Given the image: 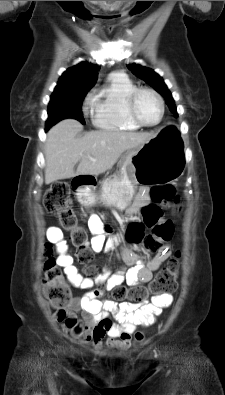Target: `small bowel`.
I'll list each match as a JSON object with an SVG mask.
<instances>
[{
	"label": "small bowel",
	"instance_id": "1",
	"mask_svg": "<svg viewBox=\"0 0 225 395\" xmlns=\"http://www.w3.org/2000/svg\"><path fill=\"white\" fill-rule=\"evenodd\" d=\"M147 204L148 192L145 188H141L127 210L128 219H135ZM88 226L93 234L91 248L94 252L99 253L113 247V241H106L109 230L98 215L93 214L89 217ZM46 236L48 241L54 244L56 254H59L56 266H60L72 281L71 291L82 292V296L74 299L68 308L62 311L56 310L54 313L55 320L61 323L63 330L73 339L84 344L91 343L97 348L103 344L113 348H128L133 343L144 340V333L137 331V327L153 324L162 309L172 304L173 297L169 293L155 295L150 301L145 300L141 304L116 303L101 299L102 291L93 288L94 285L104 284L109 290L122 281L131 286L146 284L170 257L172 252L170 245L165 244L160 247L158 252L147 261L126 249L123 258L129 268L125 273L111 274L109 270H104L94 278H84L69 255L68 237H63L62 231L55 226L46 229ZM77 311H81V319L77 317Z\"/></svg>",
	"mask_w": 225,
	"mask_h": 395
}]
</instances>
